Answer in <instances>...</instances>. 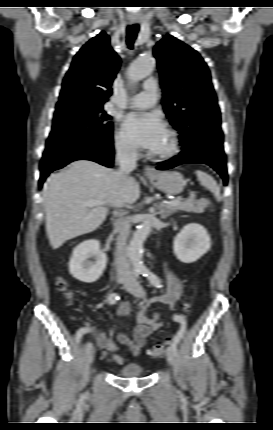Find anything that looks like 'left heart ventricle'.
I'll return each instance as SVG.
<instances>
[{
  "instance_id": "b2bd125f",
  "label": "left heart ventricle",
  "mask_w": 273,
  "mask_h": 430,
  "mask_svg": "<svg viewBox=\"0 0 273 430\" xmlns=\"http://www.w3.org/2000/svg\"><path fill=\"white\" fill-rule=\"evenodd\" d=\"M169 146H170V138L166 133L160 147L155 152H164L169 148Z\"/></svg>"
}]
</instances>
